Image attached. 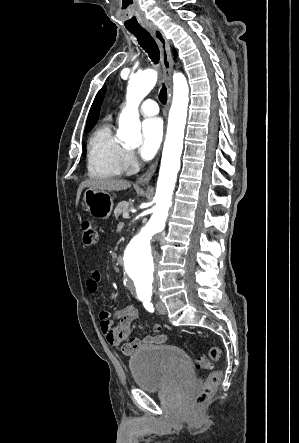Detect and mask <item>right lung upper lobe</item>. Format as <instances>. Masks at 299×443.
<instances>
[{"label":"right lung upper lobe","instance_id":"1","mask_svg":"<svg viewBox=\"0 0 299 443\" xmlns=\"http://www.w3.org/2000/svg\"><path fill=\"white\" fill-rule=\"evenodd\" d=\"M104 92H105V88L101 89L98 92V94L96 95L95 100L91 106V109H90V112L88 115L86 126L93 125L97 122V119L99 117L100 106H101L103 96H104Z\"/></svg>","mask_w":299,"mask_h":443}]
</instances>
